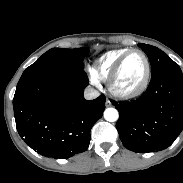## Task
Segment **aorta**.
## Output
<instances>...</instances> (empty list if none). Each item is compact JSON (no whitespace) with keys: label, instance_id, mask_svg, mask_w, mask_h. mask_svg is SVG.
I'll return each mask as SVG.
<instances>
[{"label":"aorta","instance_id":"obj_1","mask_svg":"<svg viewBox=\"0 0 183 183\" xmlns=\"http://www.w3.org/2000/svg\"><path fill=\"white\" fill-rule=\"evenodd\" d=\"M104 118L109 122H115L119 118L118 111L115 108H107L104 111Z\"/></svg>","mask_w":183,"mask_h":183}]
</instances>
